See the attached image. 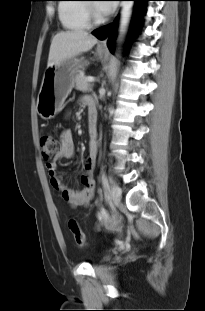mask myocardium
I'll return each instance as SVG.
<instances>
[{
    "instance_id": "myocardium-1",
    "label": "myocardium",
    "mask_w": 205,
    "mask_h": 311,
    "mask_svg": "<svg viewBox=\"0 0 205 311\" xmlns=\"http://www.w3.org/2000/svg\"><path fill=\"white\" fill-rule=\"evenodd\" d=\"M88 17L91 19L94 24H99L102 21V18L97 13L95 7L93 5H87Z\"/></svg>"
}]
</instances>
